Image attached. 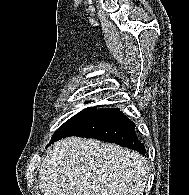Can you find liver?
<instances>
[{
  "label": "liver",
  "mask_w": 189,
  "mask_h": 195,
  "mask_svg": "<svg viewBox=\"0 0 189 195\" xmlns=\"http://www.w3.org/2000/svg\"><path fill=\"white\" fill-rule=\"evenodd\" d=\"M146 162L115 144L70 137L45 157L38 188L44 195H142Z\"/></svg>",
  "instance_id": "1"
}]
</instances>
